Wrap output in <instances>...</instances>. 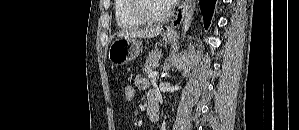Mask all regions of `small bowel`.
<instances>
[{
	"label": "small bowel",
	"instance_id": "c3829d8e",
	"mask_svg": "<svg viewBox=\"0 0 299 130\" xmlns=\"http://www.w3.org/2000/svg\"><path fill=\"white\" fill-rule=\"evenodd\" d=\"M135 84L137 87H139L140 89H147L149 87V82L146 78H144L141 75H138L135 79ZM153 94L152 92H150V95Z\"/></svg>",
	"mask_w": 299,
	"mask_h": 130
}]
</instances>
